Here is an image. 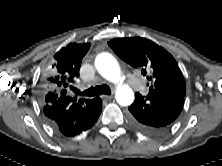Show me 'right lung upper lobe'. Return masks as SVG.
<instances>
[{
	"label": "right lung upper lobe",
	"mask_w": 222,
	"mask_h": 166,
	"mask_svg": "<svg viewBox=\"0 0 222 166\" xmlns=\"http://www.w3.org/2000/svg\"><path fill=\"white\" fill-rule=\"evenodd\" d=\"M90 48V43H70L60 49L53 57L45 82V92L68 96L67 87L78 77L83 57ZM76 99V98H74ZM87 99L76 100L79 103Z\"/></svg>",
	"instance_id": "right-lung-upper-lobe-1"
}]
</instances>
